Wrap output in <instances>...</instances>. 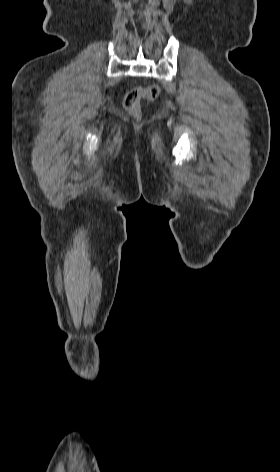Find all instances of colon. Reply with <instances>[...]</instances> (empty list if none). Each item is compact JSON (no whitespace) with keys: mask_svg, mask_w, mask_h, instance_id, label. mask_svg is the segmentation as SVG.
Segmentation results:
<instances>
[{"mask_svg":"<svg viewBox=\"0 0 280 472\" xmlns=\"http://www.w3.org/2000/svg\"><path fill=\"white\" fill-rule=\"evenodd\" d=\"M159 94V87L157 85H150L148 87H135L127 92L124 98L125 109L133 116L140 114V102L142 99L154 100Z\"/></svg>","mask_w":280,"mask_h":472,"instance_id":"colon-1","label":"colon"}]
</instances>
